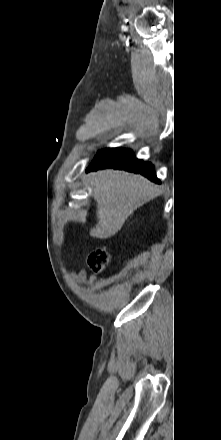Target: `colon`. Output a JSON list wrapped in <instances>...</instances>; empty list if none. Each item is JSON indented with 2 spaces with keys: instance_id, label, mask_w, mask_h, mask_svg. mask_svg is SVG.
<instances>
[{
  "instance_id": "1",
  "label": "colon",
  "mask_w": 221,
  "mask_h": 440,
  "mask_svg": "<svg viewBox=\"0 0 221 440\" xmlns=\"http://www.w3.org/2000/svg\"><path fill=\"white\" fill-rule=\"evenodd\" d=\"M109 261V254L103 249L94 251L88 258L89 266L96 271L104 270L108 266Z\"/></svg>"
}]
</instances>
